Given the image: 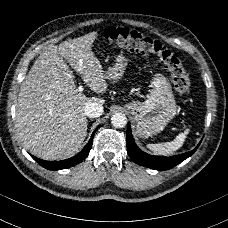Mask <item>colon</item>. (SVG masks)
<instances>
[{
    "label": "colon",
    "instance_id": "colon-1",
    "mask_svg": "<svg viewBox=\"0 0 228 228\" xmlns=\"http://www.w3.org/2000/svg\"><path fill=\"white\" fill-rule=\"evenodd\" d=\"M104 35L111 46H130L141 53L158 57L171 75L175 93L180 96L189 94L191 82L182 61L161 42L137 30L121 27H110Z\"/></svg>",
    "mask_w": 228,
    "mask_h": 228
}]
</instances>
